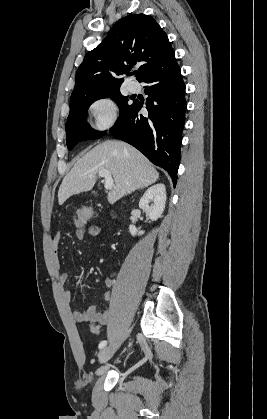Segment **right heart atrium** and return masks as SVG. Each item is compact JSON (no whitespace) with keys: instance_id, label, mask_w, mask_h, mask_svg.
<instances>
[{"instance_id":"d8ad5b80","label":"right heart atrium","mask_w":267,"mask_h":419,"mask_svg":"<svg viewBox=\"0 0 267 419\" xmlns=\"http://www.w3.org/2000/svg\"><path fill=\"white\" fill-rule=\"evenodd\" d=\"M89 113L93 119V128L97 131L111 128L118 116L116 104L108 97L94 100L89 106Z\"/></svg>"}]
</instances>
